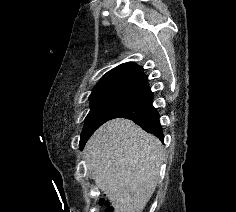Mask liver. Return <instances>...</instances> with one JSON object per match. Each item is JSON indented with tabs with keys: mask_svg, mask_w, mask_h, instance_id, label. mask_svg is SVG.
<instances>
[{
	"mask_svg": "<svg viewBox=\"0 0 236 212\" xmlns=\"http://www.w3.org/2000/svg\"><path fill=\"white\" fill-rule=\"evenodd\" d=\"M162 160L160 140L127 119L106 122L84 148V166L115 212L143 211L157 186Z\"/></svg>",
	"mask_w": 236,
	"mask_h": 212,
	"instance_id": "obj_1",
	"label": "liver"
}]
</instances>
